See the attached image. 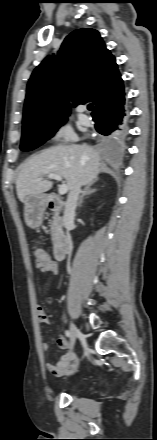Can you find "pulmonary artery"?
Masks as SVG:
<instances>
[{
	"mask_svg": "<svg viewBox=\"0 0 157 440\" xmlns=\"http://www.w3.org/2000/svg\"><path fill=\"white\" fill-rule=\"evenodd\" d=\"M77 110L80 112V119L83 122H89V118L83 113L84 108L82 106L78 107Z\"/></svg>",
	"mask_w": 157,
	"mask_h": 440,
	"instance_id": "e3ab8cb5",
	"label": "pulmonary artery"
}]
</instances>
